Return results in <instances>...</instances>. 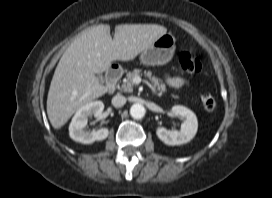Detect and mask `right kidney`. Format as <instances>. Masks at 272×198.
<instances>
[{
    "label": "right kidney",
    "instance_id": "obj_1",
    "mask_svg": "<svg viewBox=\"0 0 272 198\" xmlns=\"http://www.w3.org/2000/svg\"><path fill=\"white\" fill-rule=\"evenodd\" d=\"M104 109L102 101H93L80 107L72 118L69 125L70 138L82 144H91L95 141H102L108 137L109 130L101 128L97 131L87 132L84 128L87 125L88 118L94 115L98 117Z\"/></svg>",
    "mask_w": 272,
    "mask_h": 198
}]
</instances>
